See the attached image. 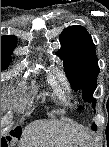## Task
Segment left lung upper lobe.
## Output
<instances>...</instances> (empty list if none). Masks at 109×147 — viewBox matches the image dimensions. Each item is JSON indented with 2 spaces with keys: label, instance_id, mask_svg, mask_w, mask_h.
<instances>
[{
  "label": "left lung upper lobe",
  "instance_id": "obj_1",
  "mask_svg": "<svg viewBox=\"0 0 109 147\" xmlns=\"http://www.w3.org/2000/svg\"><path fill=\"white\" fill-rule=\"evenodd\" d=\"M60 42L58 55L63 60L68 80L75 90L81 89L83 97L90 101L99 74L95 45L91 36L84 27L71 26L63 30ZM92 128L95 130L96 126L93 125Z\"/></svg>",
  "mask_w": 109,
  "mask_h": 147
}]
</instances>
